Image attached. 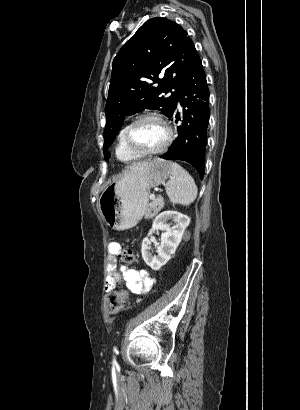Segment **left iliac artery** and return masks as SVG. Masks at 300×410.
Segmentation results:
<instances>
[{"mask_svg": "<svg viewBox=\"0 0 300 410\" xmlns=\"http://www.w3.org/2000/svg\"><path fill=\"white\" fill-rule=\"evenodd\" d=\"M113 351L116 353V352H117V348H116V347H114Z\"/></svg>", "mask_w": 300, "mask_h": 410, "instance_id": "left-iliac-artery-1", "label": "left iliac artery"}]
</instances>
